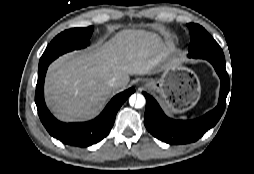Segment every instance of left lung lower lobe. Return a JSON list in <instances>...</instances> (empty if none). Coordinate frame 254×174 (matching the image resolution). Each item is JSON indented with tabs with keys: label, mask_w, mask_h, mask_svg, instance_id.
<instances>
[{
	"label": "left lung lower lobe",
	"mask_w": 254,
	"mask_h": 174,
	"mask_svg": "<svg viewBox=\"0 0 254 174\" xmlns=\"http://www.w3.org/2000/svg\"><path fill=\"white\" fill-rule=\"evenodd\" d=\"M205 59L213 65L219 75L221 89L218 105L203 117L188 121L170 119L163 113L154 98L143 92L146 97L144 123L147 130L157 139L175 145L195 142L212 128L222 116L229 92V77L225 68V60Z\"/></svg>",
	"instance_id": "1"
}]
</instances>
